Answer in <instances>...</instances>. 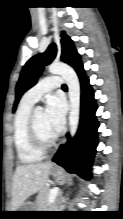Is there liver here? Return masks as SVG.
Wrapping results in <instances>:
<instances>
[{
	"label": "liver",
	"instance_id": "1",
	"mask_svg": "<svg viewBox=\"0 0 123 219\" xmlns=\"http://www.w3.org/2000/svg\"><path fill=\"white\" fill-rule=\"evenodd\" d=\"M52 166L51 162H41L16 167L12 183L11 211H17L31 195L45 187Z\"/></svg>",
	"mask_w": 123,
	"mask_h": 219
}]
</instances>
